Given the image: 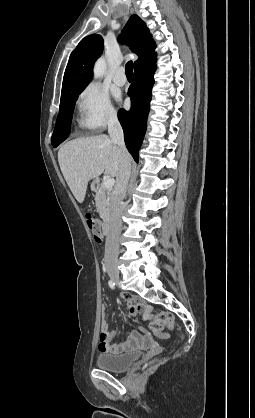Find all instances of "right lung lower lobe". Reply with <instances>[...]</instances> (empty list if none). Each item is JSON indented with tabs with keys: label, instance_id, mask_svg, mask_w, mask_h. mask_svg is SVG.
Returning a JSON list of instances; mask_svg holds the SVG:
<instances>
[{
	"label": "right lung lower lobe",
	"instance_id": "right-lung-lower-lobe-1",
	"mask_svg": "<svg viewBox=\"0 0 255 418\" xmlns=\"http://www.w3.org/2000/svg\"><path fill=\"white\" fill-rule=\"evenodd\" d=\"M155 70L156 60L134 71L133 82L128 89L132 107L129 111L121 109L118 114L126 147L136 162L146 131Z\"/></svg>",
	"mask_w": 255,
	"mask_h": 418
}]
</instances>
